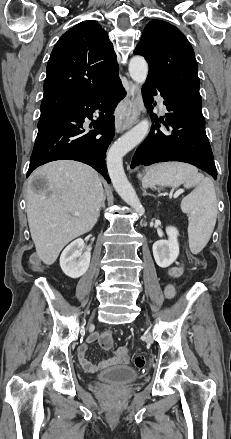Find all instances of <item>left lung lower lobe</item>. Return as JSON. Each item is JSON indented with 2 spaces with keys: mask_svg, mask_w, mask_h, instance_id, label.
Masks as SVG:
<instances>
[{
  "mask_svg": "<svg viewBox=\"0 0 231 439\" xmlns=\"http://www.w3.org/2000/svg\"><path fill=\"white\" fill-rule=\"evenodd\" d=\"M145 85L146 89L142 91L144 104L156 124L136 150L131 168L179 161L192 164L217 179V169L202 113L191 108L155 79L147 77ZM157 93L163 97V104L168 110L164 116L165 121L160 120L167 127L168 133L159 130L158 117L151 111L153 96Z\"/></svg>",
  "mask_w": 231,
  "mask_h": 439,
  "instance_id": "obj_1",
  "label": "left lung lower lobe"
}]
</instances>
